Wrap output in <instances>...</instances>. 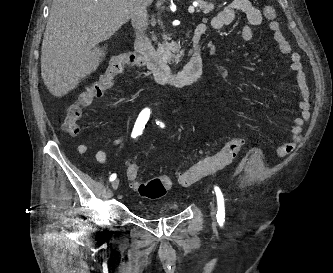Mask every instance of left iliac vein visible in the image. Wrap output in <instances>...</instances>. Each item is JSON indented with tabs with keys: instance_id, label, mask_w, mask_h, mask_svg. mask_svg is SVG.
<instances>
[{
	"instance_id": "4c4485c4",
	"label": "left iliac vein",
	"mask_w": 333,
	"mask_h": 273,
	"mask_svg": "<svg viewBox=\"0 0 333 273\" xmlns=\"http://www.w3.org/2000/svg\"><path fill=\"white\" fill-rule=\"evenodd\" d=\"M210 216L212 219V224L216 225V208H215V204L213 201L210 204Z\"/></svg>"
}]
</instances>
